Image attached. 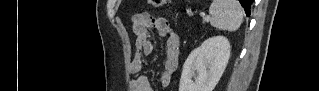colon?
<instances>
[{
	"mask_svg": "<svg viewBox=\"0 0 319 91\" xmlns=\"http://www.w3.org/2000/svg\"><path fill=\"white\" fill-rule=\"evenodd\" d=\"M149 4L155 7L168 8L169 2L166 0H149Z\"/></svg>",
	"mask_w": 319,
	"mask_h": 91,
	"instance_id": "5ec220e1",
	"label": "colon"
}]
</instances>
